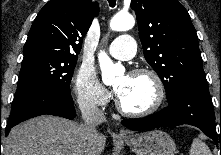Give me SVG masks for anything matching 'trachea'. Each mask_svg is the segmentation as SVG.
Wrapping results in <instances>:
<instances>
[{
    "mask_svg": "<svg viewBox=\"0 0 221 155\" xmlns=\"http://www.w3.org/2000/svg\"><path fill=\"white\" fill-rule=\"evenodd\" d=\"M111 7H114L116 5V0H108Z\"/></svg>",
    "mask_w": 221,
    "mask_h": 155,
    "instance_id": "trachea-1",
    "label": "trachea"
}]
</instances>
